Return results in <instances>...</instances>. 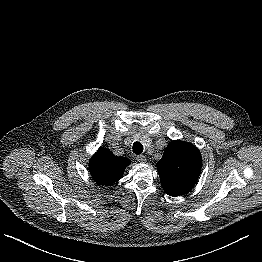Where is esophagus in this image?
<instances>
[{
	"label": "esophagus",
	"mask_w": 262,
	"mask_h": 262,
	"mask_svg": "<svg viewBox=\"0 0 262 262\" xmlns=\"http://www.w3.org/2000/svg\"><path fill=\"white\" fill-rule=\"evenodd\" d=\"M137 161L140 162V163H145L146 162V157L144 155H138L136 157Z\"/></svg>",
	"instance_id": "34e87169"
}]
</instances>
